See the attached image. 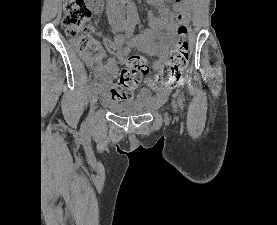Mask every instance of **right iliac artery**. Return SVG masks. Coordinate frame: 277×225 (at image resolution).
<instances>
[{
    "mask_svg": "<svg viewBox=\"0 0 277 225\" xmlns=\"http://www.w3.org/2000/svg\"><path fill=\"white\" fill-rule=\"evenodd\" d=\"M135 25H136V22L134 20H130L127 22V25H126V34L125 36L126 37H131L133 35V32H134V28H135ZM122 34L118 35V36H121ZM95 84L94 83H91L89 88L90 90H94L95 89Z\"/></svg>",
    "mask_w": 277,
    "mask_h": 225,
    "instance_id": "right-iliac-artery-1",
    "label": "right iliac artery"
}]
</instances>
